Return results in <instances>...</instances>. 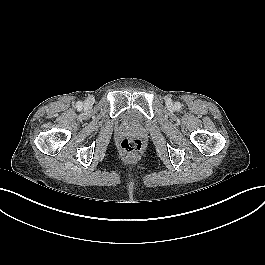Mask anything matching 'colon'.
I'll list each match as a JSON object with an SVG mask.
<instances>
[{
  "instance_id": "colon-1",
  "label": "colon",
  "mask_w": 265,
  "mask_h": 265,
  "mask_svg": "<svg viewBox=\"0 0 265 265\" xmlns=\"http://www.w3.org/2000/svg\"><path fill=\"white\" fill-rule=\"evenodd\" d=\"M120 146L125 152L136 154L142 150L143 142L139 139H124Z\"/></svg>"
}]
</instances>
